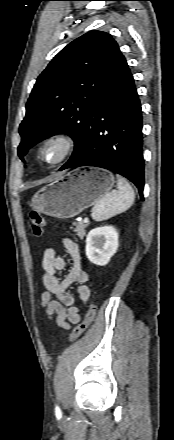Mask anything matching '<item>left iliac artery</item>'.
<instances>
[{"instance_id":"left-iliac-artery-1","label":"left iliac artery","mask_w":174,"mask_h":440,"mask_svg":"<svg viewBox=\"0 0 174 440\" xmlns=\"http://www.w3.org/2000/svg\"><path fill=\"white\" fill-rule=\"evenodd\" d=\"M56 412H60V409L58 406L55 407Z\"/></svg>"}]
</instances>
